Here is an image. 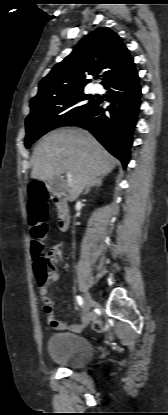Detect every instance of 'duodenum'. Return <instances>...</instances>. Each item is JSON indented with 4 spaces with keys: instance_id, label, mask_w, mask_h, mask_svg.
<instances>
[{
    "instance_id": "duodenum-1",
    "label": "duodenum",
    "mask_w": 168,
    "mask_h": 415,
    "mask_svg": "<svg viewBox=\"0 0 168 415\" xmlns=\"http://www.w3.org/2000/svg\"><path fill=\"white\" fill-rule=\"evenodd\" d=\"M53 201L57 210L58 228L65 232L70 224V212L63 192H54Z\"/></svg>"
}]
</instances>
